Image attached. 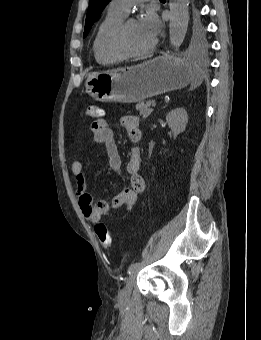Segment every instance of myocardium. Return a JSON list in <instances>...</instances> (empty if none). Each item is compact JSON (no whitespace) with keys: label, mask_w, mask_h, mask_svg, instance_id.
<instances>
[{"label":"myocardium","mask_w":261,"mask_h":340,"mask_svg":"<svg viewBox=\"0 0 261 340\" xmlns=\"http://www.w3.org/2000/svg\"><path fill=\"white\" fill-rule=\"evenodd\" d=\"M137 22L135 18L133 17H125L123 20H121L111 31L109 37H108V48L109 50L119 56L120 58H133V57H139L144 56L148 53H150L156 46V39L153 40L151 45L141 51H129L124 47L123 44V36L126 28L134 23Z\"/></svg>","instance_id":"1"}]
</instances>
